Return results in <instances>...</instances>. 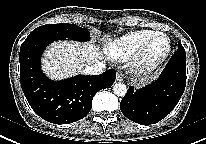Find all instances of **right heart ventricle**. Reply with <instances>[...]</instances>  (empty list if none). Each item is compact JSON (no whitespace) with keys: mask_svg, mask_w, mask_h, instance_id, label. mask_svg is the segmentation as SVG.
<instances>
[{"mask_svg":"<svg viewBox=\"0 0 206 144\" xmlns=\"http://www.w3.org/2000/svg\"><path fill=\"white\" fill-rule=\"evenodd\" d=\"M154 30H137L128 32L107 43L106 52L113 59H125L133 56L139 48L153 35Z\"/></svg>","mask_w":206,"mask_h":144,"instance_id":"obj_1","label":"right heart ventricle"}]
</instances>
